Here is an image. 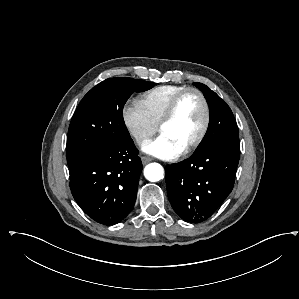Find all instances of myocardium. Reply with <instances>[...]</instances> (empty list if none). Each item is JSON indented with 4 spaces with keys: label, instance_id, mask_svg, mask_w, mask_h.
I'll return each mask as SVG.
<instances>
[{
    "label": "myocardium",
    "instance_id": "1",
    "mask_svg": "<svg viewBox=\"0 0 299 299\" xmlns=\"http://www.w3.org/2000/svg\"><path fill=\"white\" fill-rule=\"evenodd\" d=\"M190 93L196 94L200 98L204 109V119L197 136L182 150V154H188L191 151H193L195 148H197L205 138L206 133L208 131L211 114H210L209 103L205 95L199 89L192 88V87H187L184 90L180 91L172 99V101L170 102L163 117L161 118L158 124V131L161 132L162 128L173 120L181 100Z\"/></svg>",
    "mask_w": 299,
    "mask_h": 299
}]
</instances>
